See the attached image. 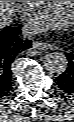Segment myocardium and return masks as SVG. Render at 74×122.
<instances>
[{
  "label": "myocardium",
  "mask_w": 74,
  "mask_h": 122,
  "mask_svg": "<svg viewBox=\"0 0 74 122\" xmlns=\"http://www.w3.org/2000/svg\"><path fill=\"white\" fill-rule=\"evenodd\" d=\"M47 3H49L50 1H45ZM68 21L74 22V1H73V10L71 15L67 18Z\"/></svg>",
  "instance_id": "1"
}]
</instances>
